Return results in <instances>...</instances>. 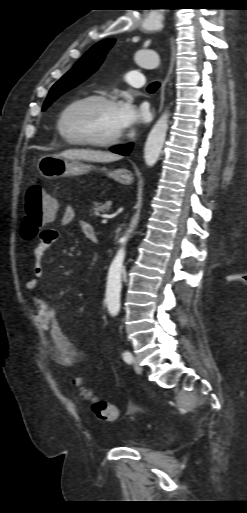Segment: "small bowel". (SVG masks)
<instances>
[{"mask_svg": "<svg viewBox=\"0 0 247 513\" xmlns=\"http://www.w3.org/2000/svg\"><path fill=\"white\" fill-rule=\"evenodd\" d=\"M75 221V209L71 206L66 207L62 213L60 224L67 226ZM77 223L82 233L90 240L89 236L95 234L93 227L85 221H77ZM59 239L60 233L55 228L46 227L40 231L38 244L34 249L35 261L32 268V277L25 283V288L28 291H35L39 287L40 279L45 273L43 265L45 252ZM32 302L35 318L50 338L48 352L51 359L58 365L65 367H78L83 364L88 358V353L70 341L61 326L57 308L40 296H34Z\"/></svg>", "mask_w": 247, "mask_h": 513, "instance_id": "c3829d8e", "label": "small bowel"}]
</instances>
